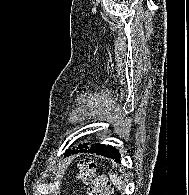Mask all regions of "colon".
I'll list each match as a JSON object with an SVG mask.
<instances>
[{
	"instance_id": "5ec220e1",
	"label": "colon",
	"mask_w": 189,
	"mask_h": 195,
	"mask_svg": "<svg viewBox=\"0 0 189 195\" xmlns=\"http://www.w3.org/2000/svg\"><path fill=\"white\" fill-rule=\"evenodd\" d=\"M92 168L82 162L80 164V179L84 183L92 184L89 195H104L106 192V181L102 178H93L91 174Z\"/></svg>"
}]
</instances>
